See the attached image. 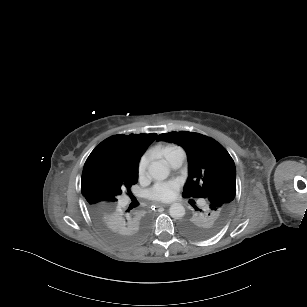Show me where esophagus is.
Returning <instances> with one entry per match:
<instances>
[{
    "instance_id": "obj_1",
    "label": "esophagus",
    "mask_w": 307,
    "mask_h": 307,
    "mask_svg": "<svg viewBox=\"0 0 307 307\" xmlns=\"http://www.w3.org/2000/svg\"><path fill=\"white\" fill-rule=\"evenodd\" d=\"M153 206H154L155 208H160V207H163L164 205L158 204V203H154Z\"/></svg>"
}]
</instances>
